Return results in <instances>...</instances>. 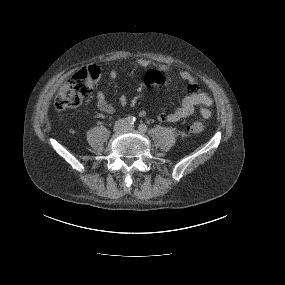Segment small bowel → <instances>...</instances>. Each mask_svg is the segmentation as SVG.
I'll use <instances>...</instances> for the list:
<instances>
[{"mask_svg": "<svg viewBox=\"0 0 285 285\" xmlns=\"http://www.w3.org/2000/svg\"><path fill=\"white\" fill-rule=\"evenodd\" d=\"M138 67L151 68L144 77V84L146 88L160 87L164 84V77L170 73V68L164 65L156 66L154 63L147 59H139L136 61ZM179 77L187 84L188 95L183 99L180 107L171 112H161L158 115V119L162 122H178L192 116L196 107H199V114L202 118L208 119L211 116L210 107L213 104L211 96L201 91L196 78L188 71L181 70L178 73ZM111 79L117 78V72L111 70L109 72ZM126 99L124 96L120 98V105H124ZM96 104L99 110L104 113L113 114L117 111V107L109 103L105 94L102 91H98L96 94Z\"/></svg>", "mask_w": 285, "mask_h": 285, "instance_id": "small-bowel-1", "label": "small bowel"}]
</instances>
